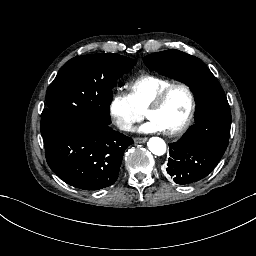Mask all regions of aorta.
<instances>
[{"mask_svg":"<svg viewBox=\"0 0 256 256\" xmlns=\"http://www.w3.org/2000/svg\"><path fill=\"white\" fill-rule=\"evenodd\" d=\"M148 149L152 154L161 157L166 154L167 145L163 139L159 137H153L148 142Z\"/></svg>","mask_w":256,"mask_h":256,"instance_id":"aorta-1","label":"aorta"}]
</instances>
